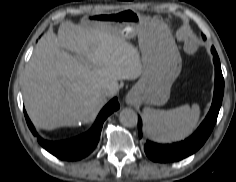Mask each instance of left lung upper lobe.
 <instances>
[{
  "instance_id": "left-lung-upper-lobe-1",
  "label": "left lung upper lobe",
  "mask_w": 236,
  "mask_h": 182,
  "mask_svg": "<svg viewBox=\"0 0 236 182\" xmlns=\"http://www.w3.org/2000/svg\"><path fill=\"white\" fill-rule=\"evenodd\" d=\"M204 38H205V37H204ZM211 51H212V53H213V55H214V58H213L214 64L220 63V60H219V57H218V55H217V52H216L215 48L212 47V48H211Z\"/></svg>"
}]
</instances>
